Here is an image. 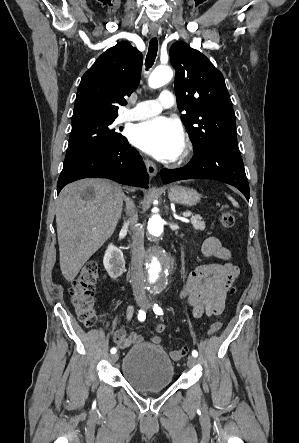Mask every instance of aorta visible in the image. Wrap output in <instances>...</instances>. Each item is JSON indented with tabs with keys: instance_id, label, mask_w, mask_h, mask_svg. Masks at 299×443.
Listing matches in <instances>:
<instances>
[{
	"instance_id": "1",
	"label": "aorta",
	"mask_w": 299,
	"mask_h": 443,
	"mask_svg": "<svg viewBox=\"0 0 299 443\" xmlns=\"http://www.w3.org/2000/svg\"><path fill=\"white\" fill-rule=\"evenodd\" d=\"M173 77V71L168 66H159L151 73L148 84L151 88H159L168 83ZM147 235L159 240L165 233L164 222L159 214H153L148 221ZM165 254L153 250L146 257L147 285L151 297H156L163 285Z\"/></svg>"
}]
</instances>
